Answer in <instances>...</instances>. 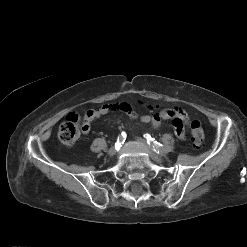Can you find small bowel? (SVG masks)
Wrapping results in <instances>:
<instances>
[{
  "mask_svg": "<svg viewBox=\"0 0 247 247\" xmlns=\"http://www.w3.org/2000/svg\"><path fill=\"white\" fill-rule=\"evenodd\" d=\"M112 112H123L132 119L137 118V113L134 110L133 106L127 102L106 104L99 108L92 109L86 112L83 119V132L88 133L90 130V126L94 121ZM162 119L173 120L177 137L180 139H185V126L188 122V115L181 108L174 107L171 109L163 110L160 112V114L157 115L140 116L141 122L152 123L154 126H158Z\"/></svg>",
  "mask_w": 247,
  "mask_h": 247,
  "instance_id": "1",
  "label": "small bowel"
}]
</instances>
